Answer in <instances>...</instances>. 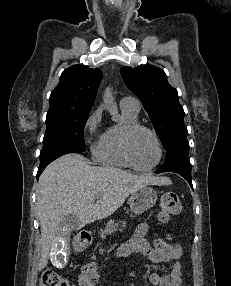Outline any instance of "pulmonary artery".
Returning <instances> with one entry per match:
<instances>
[{
  "label": "pulmonary artery",
  "mask_w": 231,
  "mask_h": 286,
  "mask_svg": "<svg viewBox=\"0 0 231 286\" xmlns=\"http://www.w3.org/2000/svg\"><path fill=\"white\" fill-rule=\"evenodd\" d=\"M120 107L138 113L140 110V102L136 97L125 96L120 100Z\"/></svg>",
  "instance_id": "e3ab8cb5"
}]
</instances>
